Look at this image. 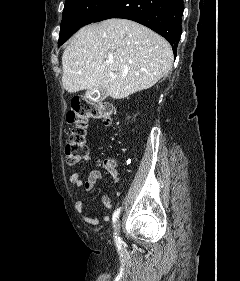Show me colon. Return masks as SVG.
Segmentation results:
<instances>
[{
    "label": "colon",
    "mask_w": 240,
    "mask_h": 281,
    "mask_svg": "<svg viewBox=\"0 0 240 281\" xmlns=\"http://www.w3.org/2000/svg\"><path fill=\"white\" fill-rule=\"evenodd\" d=\"M113 109L106 101H89L84 98H74L66 119L70 125L65 144V156L70 165H75L89 154L87 147V126L91 119L102 120L111 124Z\"/></svg>",
    "instance_id": "colon-1"
}]
</instances>
